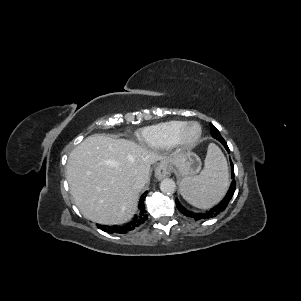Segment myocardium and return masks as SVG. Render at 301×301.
<instances>
[{
	"label": "myocardium",
	"mask_w": 301,
	"mask_h": 301,
	"mask_svg": "<svg viewBox=\"0 0 301 301\" xmlns=\"http://www.w3.org/2000/svg\"><path fill=\"white\" fill-rule=\"evenodd\" d=\"M193 128L197 129V132L191 136L190 132ZM202 127L198 122H188L181 130L173 146L178 150H190L194 148L202 137Z\"/></svg>",
	"instance_id": "1"
}]
</instances>
